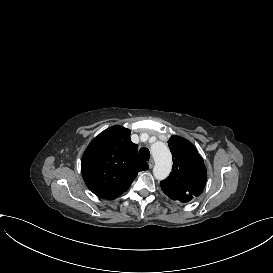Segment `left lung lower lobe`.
<instances>
[{
    "mask_svg": "<svg viewBox=\"0 0 273 273\" xmlns=\"http://www.w3.org/2000/svg\"><path fill=\"white\" fill-rule=\"evenodd\" d=\"M193 198H191V199H188V200H186V201H184V202H189L190 200H192Z\"/></svg>",
    "mask_w": 273,
    "mask_h": 273,
    "instance_id": "0a47b994",
    "label": "left lung lower lobe"
}]
</instances>
